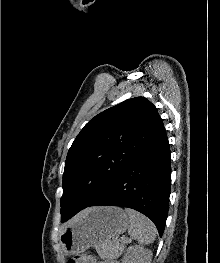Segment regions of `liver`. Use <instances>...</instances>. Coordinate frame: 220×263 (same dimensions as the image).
<instances>
[{"mask_svg":"<svg viewBox=\"0 0 220 263\" xmlns=\"http://www.w3.org/2000/svg\"><path fill=\"white\" fill-rule=\"evenodd\" d=\"M82 213H83V212H82ZM82 213H81V214H82ZM81 214H79L78 216H76V217L74 218V220L77 219ZM74 220H72L70 223H72Z\"/></svg>","mask_w":220,"mask_h":263,"instance_id":"1","label":"liver"}]
</instances>
